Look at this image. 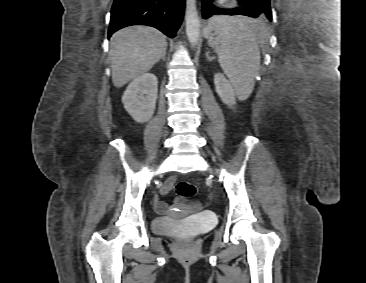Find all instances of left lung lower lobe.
<instances>
[{"label":"left lung lower lobe","instance_id":"left-lung-lower-lobe-1","mask_svg":"<svg viewBox=\"0 0 366 283\" xmlns=\"http://www.w3.org/2000/svg\"><path fill=\"white\" fill-rule=\"evenodd\" d=\"M240 7L233 9H218L211 3V0H204L202 3V16L204 19H208L213 15L226 14V15H244L252 18H258L263 13V8L259 5L260 2L256 0H237Z\"/></svg>","mask_w":366,"mask_h":283}]
</instances>
